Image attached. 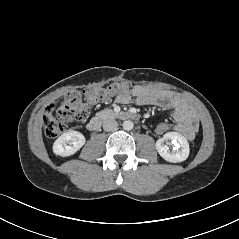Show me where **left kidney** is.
<instances>
[{
	"instance_id": "obj_1",
	"label": "left kidney",
	"mask_w": 239,
	"mask_h": 239,
	"mask_svg": "<svg viewBox=\"0 0 239 239\" xmlns=\"http://www.w3.org/2000/svg\"><path fill=\"white\" fill-rule=\"evenodd\" d=\"M168 140H171L175 146V149L172 151L165 145V142ZM156 149L162 158L172 163L185 161L190 152L187 139L177 132H168L163 138L158 139Z\"/></svg>"
}]
</instances>
